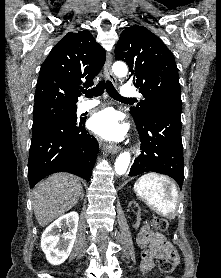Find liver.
I'll return each instance as SVG.
<instances>
[{"label":"liver","mask_w":221,"mask_h":278,"mask_svg":"<svg viewBox=\"0 0 221 278\" xmlns=\"http://www.w3.org/2000/svg\"><path fill=\"white\" fill-rule=\"evenodd\" d=\"M83 193L78 178L57 173L41 181L33 190L32 205L35 217L44 227L74 207Z\"/></svg>","instance_id":"6515ba94"}]
</instances>
